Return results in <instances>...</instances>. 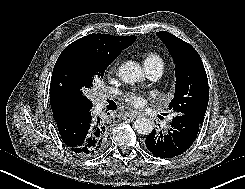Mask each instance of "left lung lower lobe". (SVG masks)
Masks as SVG:
<instances>
[{
  "instance_id": "obj_1",
  "label": "left lung lower lobe",
  "mask_w": 245,
  "mask_h": 189,
  "mask_svg": "<svg viewBox=\"0 0 245 189\" xmlns=\"http://www.w3.org/2000/svg\"><path fill=\"white\" fill-rule=\"evenodd\" d=\"M200 122L190 115H177L166 131L153 130L146 137V147L155 156L172 158L185 152L194 142Z\"/></svg>"
}]
</instances>
